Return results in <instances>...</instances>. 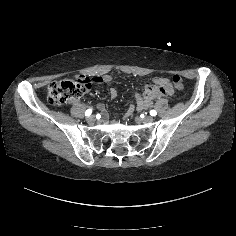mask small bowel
Listing matches in <instances>:
<instances>
[{
    "label": "small bowel",
    "instance_id": "obj_1",
    "mask_svg": "<svg viewBox=\"0 0 236 236\" xmlns=\"http://www.w3.org/2000/svg\"><path fill=\"white\" fill-rule=\"evenodd\" d=\"M110 80H111V77H110L109 75H105V76H103V77H101V78H96V81H97V82H109ZM158 81H159L160 83H167V80H166V79H163V78H160ZM116 95H117L116 90H115V89H111V90H110V96H111V98H115ZM148 103H149L148 100H144V101H142V102L140 103V105H141L142 107H145ZM75 104H78V103L76 102ZM101 109H102V107H101Z\"/></svg>",
    "mask_w": 236,
    "mask_h": 236
}]
</instances>
